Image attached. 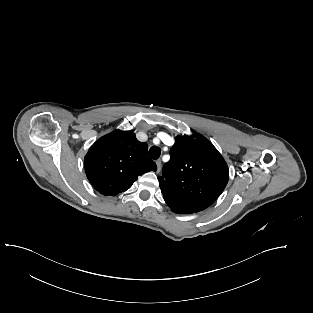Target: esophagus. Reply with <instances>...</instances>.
<instances>
[{
    "label": "esophagus",
    "mask_w": 313,
    "mask_h": 313,
    "mask_svg": "<svg viewBox=\"0 0 313 313\" xmlns=\"http://www.w3.org/2000/svg\"><path fill=\"white\" fill-rule=\"evenodd\" d=\"M156 165H157V172L159 173L161 171V167H162L161 160H157Z\"/></svg>",
    "instance_id": "obj_1"
}]
</instances>
